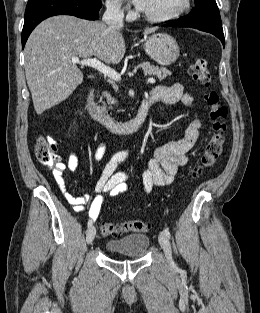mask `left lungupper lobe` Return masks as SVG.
I'll return each instance as SVG.
<instances>
[{"mask_svg":"<svg viewBox=\"0 0 260 313\" xmlns=\"http://www.w3.org/2000/svg\"><path fill=\"white\" fill-rule=\"evenodd\" d=\"M192 12L180 18L198 28H209L223 31L219 9L215 0H194Z\"/></svg>","mask_w":260,"mask_h":313,"instance_id":"left-lung-upper-lobe-1","label":"left lung upper lobe"}]
</instances>
